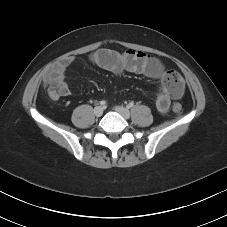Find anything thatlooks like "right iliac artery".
<instances>
[{
    "label": "right iliac artery",
    "instance_id": "obj_1",
    "mask_svg": "<svg viewBox=\"0 0 227 227\" xmlns=\"http://www.w3.org/2000/svg\"><path fill=\"white\" fill-rule=\"evenodd\" d=\"M99 104L102 105V106H104V105H106V101H100Z\"/></svg>",
    "mask_w": 227,
    "mask_h": 227
}]
</instances>
